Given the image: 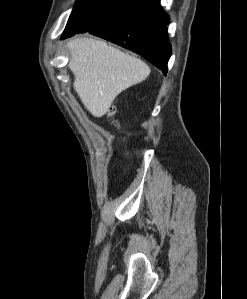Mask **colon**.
I'll return each mask as SVG.
<instances>
[{
  "label": "colon",
  "mask_w": 247,
  "mask_h": 299,
  "mask_svg": "<svg viewBox=\"0 0 247 299\" xmlns=\"http://www.w3.org/2000/svg\"><path fill=\"white\" fill-rule=\"evenodd\" d=\"M113 113H114V107H110L109 110H108V115H109V116H112ZM114 126L117 127V123H114Z\"/></svg>",
  "instance_id": "obj_1"
}]
</instances>
